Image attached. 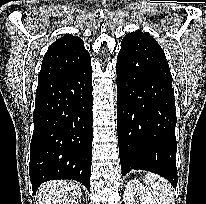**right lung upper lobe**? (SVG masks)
<instances>
[{
	"label": "right lung upper lobe",
	"mask_w": 206,
	"mask_h": 204,
	"mask_svg": "<svg viewBox=\"0 0 206 204\" xmlns=\"http://www.w3.org/2000/svg\"><path fill=\"white\" fill-rule=\"evenodd\" d=\"M90 59L84 42L79 37L66 34L48 48L43 58L38 81L69 72Z\"/></svg>",
	"instance_id": "cb5924a9"
}]
</instances>
